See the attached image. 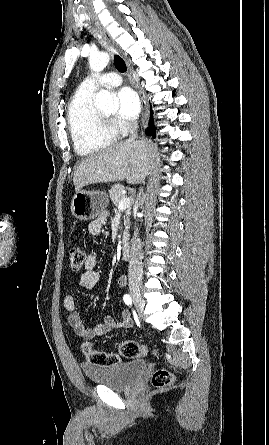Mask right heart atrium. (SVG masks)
Masks as SVG:
<instances>
[{
	"instance_id": "1",
	"label": "right heart atrium",
	"mask_w": 269,
	"mask_h": 445,
	"mask_svg": "<svg viewBox=\"0 0 269 445\" xmlns=\"http://www.w3.org/2000/svg\"><path fill=\"white\" fill-rule=\"evenodd\" d=\"M111 126L116 133L124 134L129 130L131 124L120 120H113Z\"/></svg>"
}]
</instances>
